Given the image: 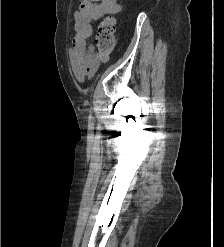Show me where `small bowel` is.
<instances>
[{
  "label": "small bowel",
  "mask_w": 224,
  "mask_h": 247,
  "mask_svg": "<svg viewBox=\"0 0 224 247\" xmlns=\"http://www.w3.org/2000/svg\"><path fill=\"white\" fill-rule=\"evenodd\" d=\"M80 7L74 14L75 34L70 49V59L73 71L78 80L92 77L99 65L94 55L93 47L87 40L93 33L92 24L106 14H117L121 6L117 0H79Z\"/></svg>",
  "instance_id": "small-bowel-1"
}]
</instances>
